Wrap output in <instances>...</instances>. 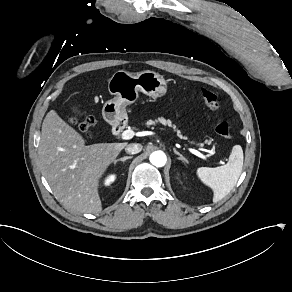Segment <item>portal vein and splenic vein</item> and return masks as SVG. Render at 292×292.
Masks as SVG:
<instances>
[{
	"instance_id": "portal-vein-and-splenic-vein-1",
	"label": "portal vein and splenic vein",
	"mask_w": 292,
	"mask_h": 292,
	"mask_svg": "<svg viewBox=\"0 0 292 292\" xmlns=\"http://www.w3.org/2000/svg\"><path fill=\"white\" fill-rule=\"evenodd\" d=\"M133 135H134V133L132 131H130V130L123 131L121 133V139L122 140H129V139H131L133 137ZM192 152L196 156H198L199 158L203 159L204 161L210 162V160L207 158V156L204 155V154H201L198 150H192ZM215 164H221V162H217Z\"/></svg>"
}]
</instances>
